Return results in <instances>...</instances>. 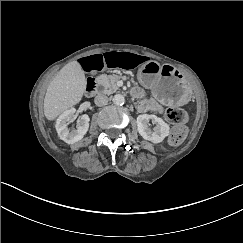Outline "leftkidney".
<instances>
[{"mask_svg": "<svg viewBox=\"0 0 243 243\" xmlns=\"http://www.w3.org/2000/svg\"><path fill=\"white\" fill-rule=\"evenodd\" d=\"M150 119H153L158 127L152 131L148 127V122ZM137 127L140 136L145 140L150 141L153 144H158L163 141L165 137H168L170 134L169 124L166 123L162 118L157 117L154 114H141L137 116Z\"/></svg>", "mask_w": 243, "mask_h": 243, "instance_id": "left-kidney-1", "label": "left kidney"}]
</instances>
